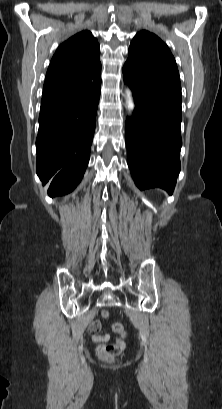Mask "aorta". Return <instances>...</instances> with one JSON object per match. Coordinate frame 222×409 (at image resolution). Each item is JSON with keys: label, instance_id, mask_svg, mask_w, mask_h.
Here are the masks:
<instances>
[{"label": "aorta", "instance_id": "1", "mask_svg": "<svg viewBox=\"0 0 222 409\" xmlns=\"http://www.w3.org/2000/svg\"><path fill=\"white\" fill-rule=\"evenodd\" d=\"M126 93H127V107L129 111L131 112L134 109V103L132 100L131 92L127 90Z\"/></svg>", "mask_w": 222, "mask_h": 409}]
</instances>
